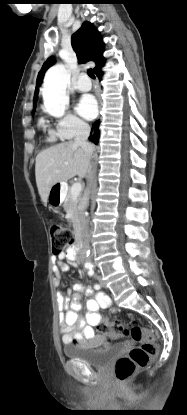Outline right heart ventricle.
Instances as JSON below:
<instances>
[{"instance_id": "right-heart-ventricle-1", "label": "right heart ventricle", "mask_w": 187, "mask_h": 415, "mask_svg": "<svg viewBox=\"0 0 187 415\" xmlns=\"http://www.w3.org/2000/svg\"><path fill=\"white\" fill-rule=\"evenodd\" d=\"M38 126L46 133L47 142L53 143L60 138L59 133L56 130L50 128L43 118L38 120Z\"/></svg>"}]
</instances>
